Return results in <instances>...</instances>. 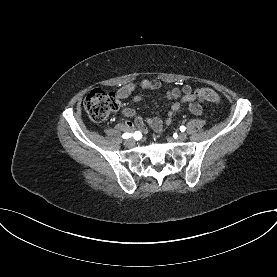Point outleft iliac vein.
I'll return each instance as SVG.
<instances>
[{
    "label": "left iliac vein",
    "instance_id": "obj_1",
    "mask_svg": "<svg viewBox=\"0 0 277 277\" xmlns=\"http://www.w3.org/2000/svg\"><path fill=\"white\" fill-rule=\"evenodd\" d=\"M178 139L180 140V141H184V140H186L187 139V134L186 133H180L179 135H178Z\"/></svg>",
    "mask_w": 277,
    "mask_h": 277
}]
</instances>
